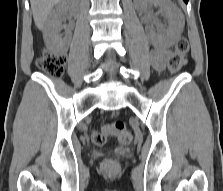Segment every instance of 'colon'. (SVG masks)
<instances>
[{
    "label": "colon",
    "mask_w": 223,
    "mask_h": 191,
    "mask_svg": "<svg viewBox=\"0 0 223 191\" xmlns=\"http://www.w3.org/2000/svg\"><path fill=\"white\" fill-rule=\"evenodd\" d=\"M189 51V41L181 37L175 44L174 50L168 59V70L171 73L177 72L183 63L184 57ZM66 58L63 54L45 53L37 60V66L52 78H59L63 73V66ZM117 136L119 142L127 145L132 141V134L127 130L125 123L117 121L106 125L100 132L92 134V142L98 147H102L109 136ZM120 162L117 156L106 160L103 164V172L115 174L120 170Z\"/></svg>",
    "instance_id": "5ec220e1"
}]
</instances>
